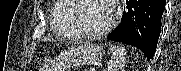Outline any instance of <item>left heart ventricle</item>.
<instances>
[{"label": "left heart ventricle", "mask_w": 181, "mask_h": 71, "mask_svg": "<svg viewBox=\"0 0 181 71\" xmlns=\"http://www.w3.org/2000/svg\"><path fill=\"white\" fill-rule=\"evenodd\" d=\"M78 19L88 31H99L110 21L111 12L103 0H81Z\"/></svg>", "instance_id": "obj_1"}]
</instances>
